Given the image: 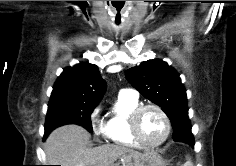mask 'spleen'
Listing matches in <instances>:
<instances>
[{"instance_id":"obj_1","label":"spleen","mask_w":236,"mask_h":166,"mask_svg":"<svg viewBox=\"0 0 236 166\" xmlns=\"http://www.w3.org/2000/svg\"><path fill=\"white\" fill-rule=\"evenodd\" d=\"M184 166H193V163H192L190 160H188V161L184 164Z\"/></svg>"}]
</instances>
